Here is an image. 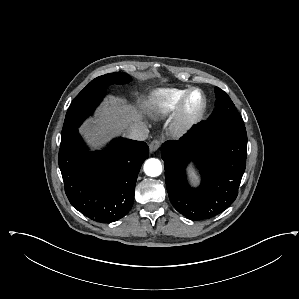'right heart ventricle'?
I'll return each instance as SVG.
<instances>
[{
    "mask_svg": "<svg viewBox=\"0 0 299 299\" xmlns=\"http://www.w3.org/2000/svg\"><path fill=\"white\" fill-rule=\"evenodd\" d=\"M186 89L165 88L156 91L150 99L152 112L163 116L173 111Z\"/></svg>",
    "mask_w": 299,
    "mask_h": 299,
    "instance_id": "1",
    "label": "right heart ventricle"
}]
</instances>
